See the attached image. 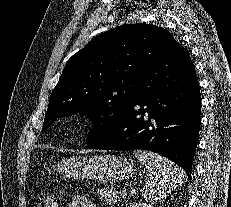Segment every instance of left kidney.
I'll use <instances>...</instances> for the list:
<instances>
[{
  "instance_id": "obj_1",
  "label": "left kidney",
  "mask_w": 231,
  "mask_h": 207,
  "mask_svg": "<svg viewBox=\"0 0 231 207\" xmlns=\"http://www.w3.org/2000/svg\"><path fill=\"white\" fill-rule=\"evenodd\" d=\"M130 207H153V206L147 203H136V204H132Z\"/></svg>"
}]
</instances>
